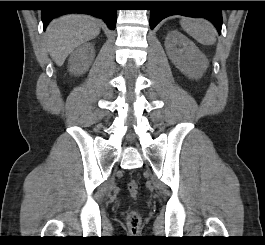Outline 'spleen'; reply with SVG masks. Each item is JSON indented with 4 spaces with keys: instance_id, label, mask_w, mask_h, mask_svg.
Listing matches in <instances>:
<instances>
[{
    "instance_id": "spleen-1",
    "label": "spleen",
    "mask_w": 265,
    "mask_h": 245,
    "mask_svg": "<svg viewBox=\"0 0 265 245\" xmlns=\"http://www.w3.org/2000/svg\"><path fill=\"white\" fill-rule=\"evenodd\" d=\"M180 24L184 31L199 43L212 45L216 42L214 29L207 21L203 19L183 18Z\"/></svg>"
}]
</instances>
